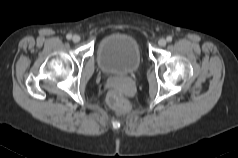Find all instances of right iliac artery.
I'll list each match as a JSON object with an SVG mask.
<instances>
[{
  "label": "right iliac artery",
  "instance_id": "82829eb1",
  "mask_svg": "<svg viewBox=\"0 0 238 158\" xmlns=\"http://www.w3.org/2000/svg\"><path fill=\"white\" fill-rule=\"evenodd\" d=\"M66 38H67L68 40H70V39L72 38V35H71V34H67V35H66Z\"/></svg>",
  "mask_w": 238,
  "mask_h": 158
}]
</instances>
